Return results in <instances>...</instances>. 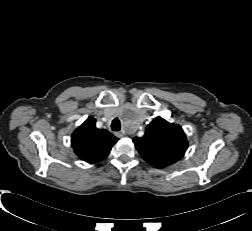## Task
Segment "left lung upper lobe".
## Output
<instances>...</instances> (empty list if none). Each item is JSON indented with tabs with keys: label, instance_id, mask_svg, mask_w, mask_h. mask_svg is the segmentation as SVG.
<instances>
[{
	"label": "left lung upper lobe",
	"instance_id": "1",
	"mask_svg": "<svg viewBox=\"0 0 252 231\" xmlns=\"http://www.w3.org/2000/svg\"><path fill=\"white\" fill-rule=\"evenodd\" d=\"M133 142L143 159L157 168L181 159L188 147L182 128L160 117L148 124L143 137H135Z\"/></svg>",
	"mask_w": 252,
	"mask_h": 231
}]
</instances>
